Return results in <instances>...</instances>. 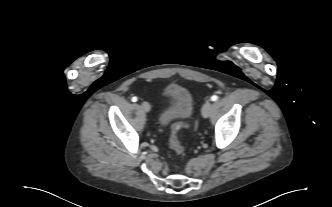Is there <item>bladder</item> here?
<instances>
[{
  "label": "bladder",
  "instance_id": "1",
  "mask_svg": "<svg viewBox=\"0 0 332 207\" xmlns=\"http://www.w3.org/2000/svg\"><path fill=\"white\" fill-rule=\"evenodd\" d=\"M167 104L158 115V124L165 126L176 120H189L194 113L195 100L192 92L185 86L170 84L163 89Z\"/></svg>",
  "mask_w": 332,
  "mask_h": 207
}]
</instances>
